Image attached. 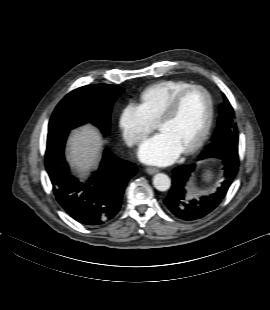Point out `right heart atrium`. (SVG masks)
Instances as JSON below:
<instances>
[{
  "label": "right heart atrium",
  "mask_w": 270,
  "mask_h": 310,
  "mask_svg": "<svg viewBox=\"0 0 270 310\" xmlns=\"http://www.w3.org/2000/svg\"><path fill=\"white\" fill-rule=\"evenodd\" d=\"M119 125L130 146L140 144L153 130V123L141 104L128 102L121 111Z\"/></svg>",
  "instance_id": "1"
}]
</instances>
